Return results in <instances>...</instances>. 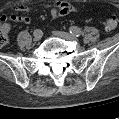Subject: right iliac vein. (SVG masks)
<instances>
[{"instance_id":"obj_1","label":"right iliac vein","mask_w":119,"mask_h":119,"mask_svg":"<svg viewBox=\"0 0 119 119\" xmlns=\"http://www.w3.org/2000/svg\"><path fill=\"white\" fill-rule=\"evenodd\" d=\"M34 41H39L42 38V32L40 31V35L39 36H34Z\"/></svg>"}]
</instances>
